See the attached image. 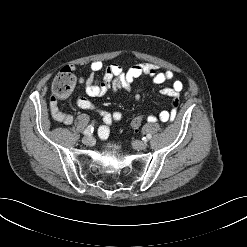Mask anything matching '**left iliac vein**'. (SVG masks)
<instances>
[{"label":"left iliac vein","instance_id":"1","mask_svg":"<svg viewBox=\"0 0 247 247\" xmlns=\"http://www.w3.org/2000/svg\"><path fill=\"white\" fill-rule=\"evenodd\" d=\"M132 145L137 150H144L147 148V143L144 141H134Z\"/></svg>","mask_w":247,"mask_h":247}]
</instances>
